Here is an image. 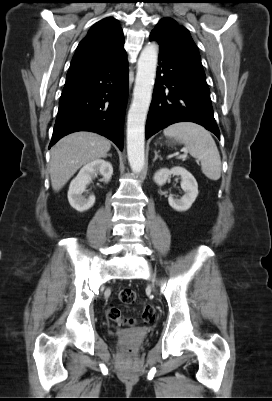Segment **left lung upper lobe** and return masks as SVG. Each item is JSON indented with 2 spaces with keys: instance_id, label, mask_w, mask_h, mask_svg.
<instances>
[{
  "instance_id": "5c2ea615",
  "label": "left lung upper lobe",
  "mask_w": 272,
  "mask_h": 401,
  "mask_svg": "<svg viewBox=\"0 0 272 401\" xmlns=\"http://www.w3.org/2000/svg\"><path fill=\"white\" fill-rule=\"evenodd\" d=\"M150 35L154 36L163 46L201 63L197 46L189 31L178 25L172 18H162Z\"/></svg>"
}]
</instances>
